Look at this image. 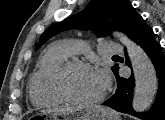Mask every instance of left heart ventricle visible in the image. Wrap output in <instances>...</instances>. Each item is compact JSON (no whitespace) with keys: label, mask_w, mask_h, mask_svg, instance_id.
<instances>
[{"label":"left heart ventricle","mask_w":165,"mask_h":120,"mask_svg":"<svg viewBox=\"0 0 165 120\" xmlns=\"http://www.w3.org/2000/svg\"><path fill=\"white\" fill-rule=\"evenodd\" d=\"M66 89L70 95L78 99H91L103 90L95 71L77 68L66 77Z\"/></svg>","instance_id":"b2bd125f"}]
</instances>
